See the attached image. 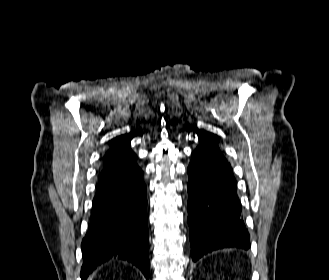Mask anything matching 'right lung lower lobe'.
Listing matches in <instances>:
<instances>
[{"mask_svg":"<svg viewBox=\"0 0 329 280\" xmlns=\"http://www.w3.org/2000/svg\"><path fill=\"white\" fill-rule=\"evenodd\" d=\"M146 208L143 171L136 163L103 168L93 199L90 227L82 241V280L109 259L132 262L148 280Z\"/></svg>","mask_w":329,"mask_h":280,"instance_id":"98d812e1","label":"right lung lower lobe"}]
</instances>
